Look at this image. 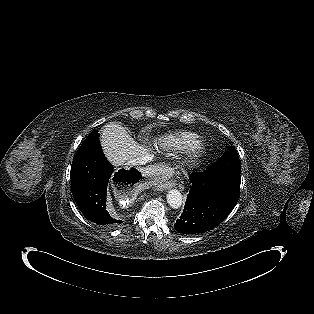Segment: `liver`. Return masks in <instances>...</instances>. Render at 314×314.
I'll use <instances>...</instances> for the list:
<instances>
[{"label": "liver", "mask_w": 314, "mask_h": 314, "mask_svg": "<svg viewBox=\"0 0 314 314\" xmlns=\"http://www.w3.org/2000/svg\"><path fill=\"white\" fill-rule=\"evenodd\" d=\"M100 142L105 156L114 166L148 154V149L140 146L123 126L116 123L103 127Z\"/></svg>", "instance_id": "obj_1"}]
</instances>
